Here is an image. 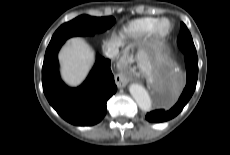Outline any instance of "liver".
<instances>
[{"label": "liver", "mask_w": 230, "mask_h": 155, "mask_svg": "<svg viewBox=\"0 0 230 155\" xmlns=\"http://www.w3.org/2000/svg\"><path fill=\"white\" fill-rule=\"evenodd\" d=\"M124 35L112 37L104 42L103 49L123 45ZM61 77L70 86L81 84L94 64V51L81 37L68 40L59 53Z\"/></svg>", "instance_id": "liver-1"}]
</instances>
